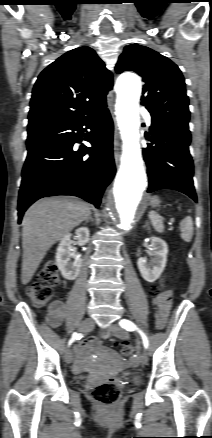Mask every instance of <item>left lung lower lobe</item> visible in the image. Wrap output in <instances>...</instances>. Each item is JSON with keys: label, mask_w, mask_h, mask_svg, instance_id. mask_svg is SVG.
I'll use <instances>...</instances> for the list:
<instances>
[{"label": "left lung lower lobe", "mask_w": 212, "mask_h": 438, "mask_svg": "<svg viewBox=\"0 0 212 438\" xmlns=\"http://www.w3.org/2000/svg\"><path fill=\"white\" fill-rule=\"evenodd\" d=\"M149 134L152 137L148 139L155 146L149 145L143 151L149 177L148 193L173 189L197 201L188 123L152 118Z\"/></svg>", "instance_id": "1"}]
</instances>
